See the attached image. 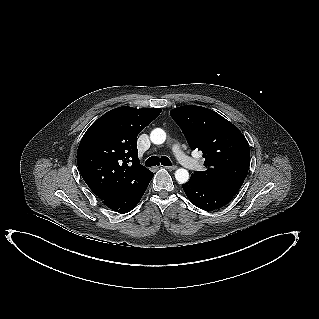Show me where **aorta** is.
<instances>
[{"instance_id":"obj_1","label":"aorta","mask_w":319,"mask_h":319,"mask_svg":"<svg viewBox=\"0 0 319 319\" xmlns=\"http://www.w3.org/2000/svg\"><path fill=\"white\" fill-rule=\"evenodd\" d=\"M150 140L154 144H163L166 140V132L161 128H155L150 133ZM175 178L179 183H186L189 180V172L184 168L175 171Z\"/></svg>"}]
</instances>
